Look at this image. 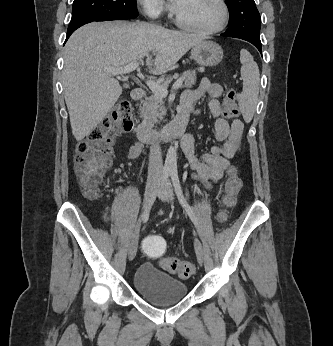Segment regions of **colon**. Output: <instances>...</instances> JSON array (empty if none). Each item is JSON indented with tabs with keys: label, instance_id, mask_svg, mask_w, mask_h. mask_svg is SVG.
Returning <instances> with one entry per match:
<instances>
[{
	"label": "colon",
	"instance_id": "obj_1",
	"mask_svg": "<svg viewBox=\"0 0 333 346\" xmlns=\"http://www.w3.org/2000/svg\"><path fill=\"white\" fill-rule=\"evenodd\" d=\"M223 114L228 119L238 115L234 89H228L226 92ZM132 128L131 104L122 100L116 104L113 113L106 118L103 126L90 132L87 139L78 144L74 160L75 172L78 184L88 198L97 199L100 196L103 177L112 164L115 133L129 132ZM241 187L238 170L232 166L225 182L224 210L219 215L221 221L227 219L228 210L236 205ZM162 239V233L143 235L141 241L143 256H150L152 260L166 256V240ZM159 264L161 268L180 278H188L195 271L191 262L174 257L163 258Z\"/></svg>",
	"mask_w": 333,
	"mask_h": 346
}]
</instances>
